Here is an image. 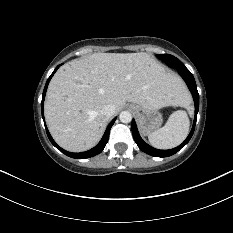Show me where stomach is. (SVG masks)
Masks as SVG:
<instances>
[{
	"instance_id": "0dacf381",
	"label": "stomach",
	"mask_w": 233,
	"mask_h": 233,
	"mask_svg": "<svg viewBox=\"0 0 233 233\" xmlns=\"http://www.w3.org/2000/svg\"><path fill=\"white\" fill-rule=\"evenodd\" d=\"M130 108L135 112L139 128L144 135L157 130L162 124V115L158 109H150L139 104L132 103Z\"/></svg>"
}]
</instances>
